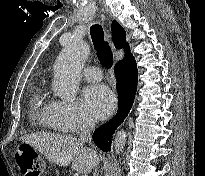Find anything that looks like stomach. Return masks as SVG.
<instances>
[{"instance_id": "1", "label": "stomach", "mask_w": 205, "mask_h": 176, "mask_svg": "<svg viewBox=\"0 0 205 176\" xmlns=\"http://www.w3.org/2000/svg\"><path fill=\"white\" fill-rule=\"evenodd\" d=\"M26 145H27V146H26ZM18 148H20V149H23V148L32 149L34 152L37 153L36 149L33 148L32 146H30L29 144H22V145H20V147H18Z\"/></svg>"}]
</instances>
